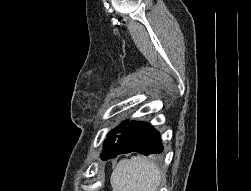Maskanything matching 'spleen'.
<instances>
[{
  "label": "spleen",
  "mask_w": 251,
  "mask_h": 191,
  "mask_svg": "<svg viewBox=\"0 0 251 191\" xmlns=\"http://www.w3.org/2000/svg\"><path fill=\"white\" fill-rule=\"evenodd\" d=\"M112 191H157L162 173L151 159L132 155L120 159L111 173Z\"/></svg>",
  "instance_id": "spleen-1"
}]
</instances>
